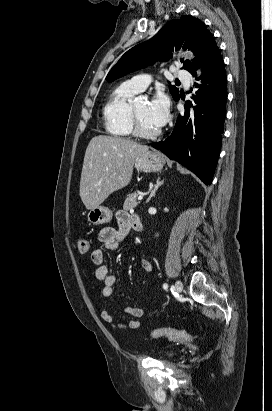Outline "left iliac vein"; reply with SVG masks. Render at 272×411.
<instances>
[{
    "label": "left iliac vein",
    "instance_id": "4c4485c4",
    "mask_svg": "<svg viewBox=\"0 0 272 411\" xmlns=\"http://www.w3.org/2000/svg\"><path fill=\"white\" fill-rule=\"evenodd\" d=\"M175 290H176L178 293H181V292L183 291V284H182V282H181L180 280H177V281L175 282Z\"/></svg>",
    "mask_w": 272,
    "mask_h": 411
}]
</instances>
